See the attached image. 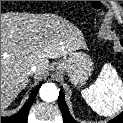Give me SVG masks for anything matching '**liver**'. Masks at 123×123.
<instances>
[{
  "label": "liver",
  "mask_w": 123,
  "mask_h": 123,
  "mask_svg": "<svg viewBox=\"0 0 123 123\" xmlns=\"http://www.w3.org/2000/svg\"><path fill=\"white\" fill-rule=\"evenodd\" d=\"M85 48L82 32L61 17L1 14V111L27 86L32 66L40 77L48 68V59Z\"/></svg>",
  "instance_id": "obj_1"
}]
</instances>
